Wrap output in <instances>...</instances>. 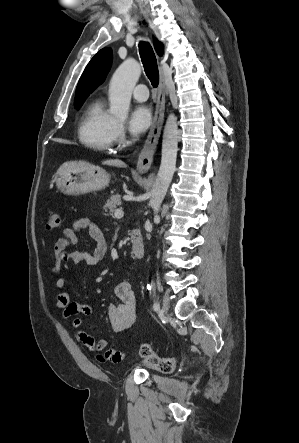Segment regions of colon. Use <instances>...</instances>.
I'll use <instances>...</instances> for the list:
<instances>
[{
  "mask_svg": "<svg viewBox=\"0 0 299 443\" xmlns=\"http://www.w3.org/2000/svg\"><path fill=\"white\" fill-rule=\"evenodd\" d=\"M60 225V216L57 211L50 209L46 213V228L48 230L56 229ZM139 354L153 369L169 373L175 368V360L173 358H166L160 356L153 348L147 344L142 343L139 347Z\"/></svg>",
  "mask_w": 299,
  "mask_h": 443,
  "instance_id": "5ec220e1",
  "label": "colon"
}]
</instances>
